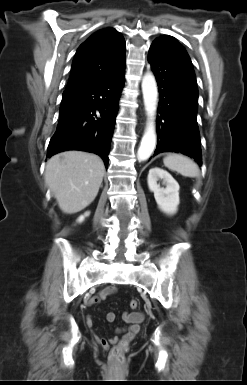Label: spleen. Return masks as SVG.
Listing matches in <instances>:
<instances>
[{
	"label": "spleen",
	"mask_w": 247,
	"mask_h": 385,
	"mask_svg": "<svg viewBox=\"0 0 247 385\" xmlns=\"http://www.w3.org/2000/svg\"><path fill=\"white\" fill-rule=\"evenodd\" d=\"M164 165L183 176L197 177L200 174V170L197 164L187 156L181 154H168L163 159Z\"/></svg>",
	"instance_id": "1"
}]
</instances>
